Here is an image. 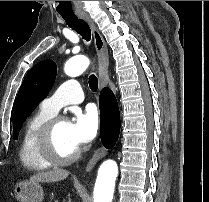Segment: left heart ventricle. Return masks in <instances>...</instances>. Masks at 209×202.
I'll return each instance as SVG.
<instances>
[{
  "label": "left heart ventricle",
  "mask_w": 209,
  "mask_h": 202,
  "mask_svg": "<svg viewBox=\"0 0 209 202\" xmlns=\"http://www.w3.org/2000/svg\"><path fill=\"white\" fill-rule=\"evenodd\" d=\"M54 146L58 153L68 156L74 153L78 147L71 140L68 123L66 121L60 123L54 133Z\"/></svg>",
  "instance_id": "obj_1"
}]
</instances>
